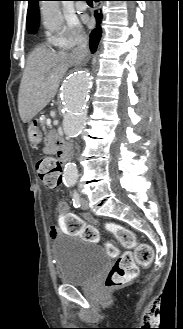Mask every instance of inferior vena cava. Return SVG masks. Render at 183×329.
<instances>
[{"label": "inferior vena cava", "mask_w": 183, "mask_h": 329, "mask_svg": "<svg viewBox=\"0 0 183 329\" xmlns=\"http://www.w3.org/2000/svg\"><path fill=\"white\" fill-rule=\"evenodd\" d=\"M88 54V48L86 46L85 43H82L81 45H79L77 47V49L74 52V58L76 61H82L83 59H85V57Z\"/></svg>", "instance_id": "602c4592"}]
</instances>
